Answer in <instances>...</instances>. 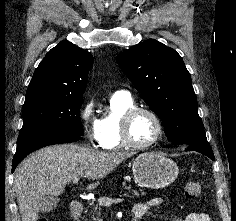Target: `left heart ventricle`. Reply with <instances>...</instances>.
<instances>
[{"label": "left heart ventricle", "mask_w": 236, "mask_h": 221, "mask_svg": "<svg viewBox=\"0 0 236 221\" xmlns=\"http://www.w3.org/2000/svg\"><path fill=\"white\" fill-rule=\"evenodd\" d=\"M157 134V125L154 119L146 114L136 115L130 126V135L134 142L146 144L154 139Z\"/></svg>", "instance_id": "1"}]
</instances>
